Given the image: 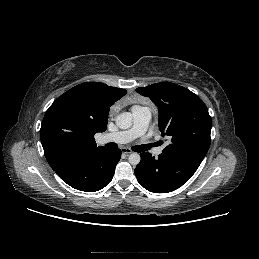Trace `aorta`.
<instances>
[{
	"label": "aorta",
	"instance_id": "obj_1",
	"mask_svg": "<svg viewBox=\"0 0 259 259\" xmlns=\"http://www.w3.org/2000/svg\"><path fill=\"white\" fill-rule=\"evenodd\" d=\"M116 125L120 129H128L132 125V115L129 112L120 113L116 117ZM141 157L138 153H132L129 155L128 161L131 165H138Z\"/></svg>",
	"mask_w": 259,
	"mask_h": 259
}]
</instances>
